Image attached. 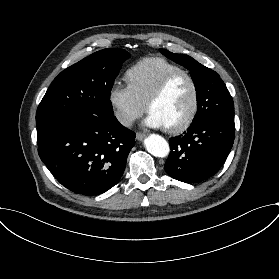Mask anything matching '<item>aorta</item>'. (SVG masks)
Wrapping results in <instances>:
<instances>
[{"instance_id":"1","label":"aorta","mask_w":279,"mask_h":279,"mask_svg":"<svg viewBox=\"0 0 279 279\" xmlns=\"http://www.w3.org/2000/svg\"><path fill=\"white\" fill-rule=\"evenodd\" d=\"M147 151L155 157H166L170 152L168 142L157 134H151L144 140Z\"/></svg>"}]
</instances>
